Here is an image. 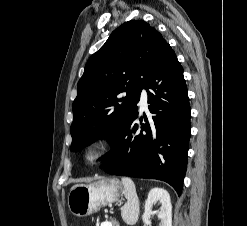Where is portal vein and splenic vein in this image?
Returning a JSON list of instances; mask_svg holds the SVG:
<instances>
[{
  "label": "portal vein and splenic vein",
  "mask_w": 247,
  "mask_h": 226,
  "mask_svg": "<svg viewBox=\"0 0 247 226\" xmlns=\"http://www.w3.org/2000/svg\"><path fill=\"white\" fill-rule=\"evenodd\" d=\"M102 226H112V224L110 222H106Z\"/></svg>",
  "instance_id": "portal-vein-and-splenic-vein-1"
}]
</instances>
